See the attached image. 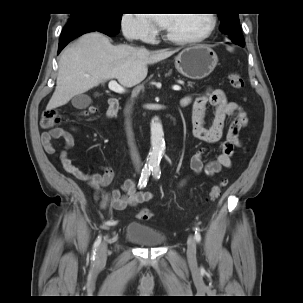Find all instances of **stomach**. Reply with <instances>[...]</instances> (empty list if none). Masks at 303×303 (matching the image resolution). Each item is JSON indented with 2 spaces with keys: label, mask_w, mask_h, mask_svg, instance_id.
Returning a JSON list of instances; mask_svg holds the SVG:
<instances>
[{
  "label": "stomach",
  "mask_w": 303,
  "mask_h": 303,
  "mask_svg": "<svg viewBox=\"0 0 303 303\" xmlns=\"http://www.w3.org/2000/svg\"><path fill=\"white\" fill-rule=\"evenodd\" d=\"M218 57L206 45H194L182 50L175 58V67L183 76L199 80L207 77L216 67Z\"/></svg>",
  "instance_id": "stomach-1"
}]
</instances>
